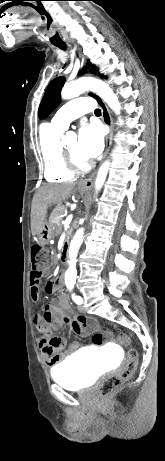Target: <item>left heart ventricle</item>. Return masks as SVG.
Here are the masks:
<instances>
[{
    "mask_svg": "<svg viewBox=\"0 0 165 461\" xmlns=\"http://www.w3.org/2000/svg\"><path fill=\"white\" fill-rule=\"evenodd\" d=\"M68 151L75 157L79 162H84L85 159L79 154L77 140H71L65 144Z\"/></svg>",
    "mask_w": 165,
    "mask_h": 461,
    "instance_id": "1",
    "label": "left heart ventricle"
}]
</instances>
